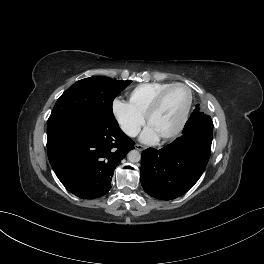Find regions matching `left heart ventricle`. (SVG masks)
Instances as JSON below:
<instances>
[{
	"instance_id": "obj_1",
	"label": "left heart ventricle",
	"mask_w": 264,
	"mask_h": 264,
	"mask_svg": "<svg viewBox=\"0 0 264 264\" xmlns=\"http://www.w3.org/2000/svg\"><path fill=\"white\" fill-rule=\"evenodd\" d=\"M188 93L182 87L167 92L158 110L152 115L149 126L161 136L172 130L178 123L187 102Z\"/></svg>"
}]
</instances>
